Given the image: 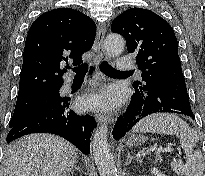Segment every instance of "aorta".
<instances>
[{"mask_svg":"<svg viewBox=\"0 0 205 176\" xmlns=\"http://www.w3.org/2000/svg\"><path fill=\"white\" fill-rule=\"evenodd\" d=\"M125 47V41L119 34H109L104 40V48L111 56L120 55ZM107 126L96 129L93 135L92 150L100 176H117L115 163L107 140Z\"/></svg>","mask_w":205,"mask_h":176,"instance_id":"obj_1","label":"aorta"}]
</instances>
